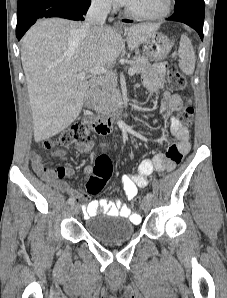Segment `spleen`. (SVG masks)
I'll list each match as a JSON object with an SVG mask.
<instances>
[{
	"mask_svg": "<svg viewBox=\"0 0 227 298\" xmlns=\"http://www.w3.org/2000/svg\"><path fill=\"white\" fill-rule=\"evenodd\" d=\"M179 67L186 75H192L195 69V52L191 40L187 35H182L180 39L179 49Z\"/></svg>",
	"mask_w": 227,
	"mask_h": 298,
	"instance_id": "spleen-1",
	"label": "spleen"
}]
</instances>
